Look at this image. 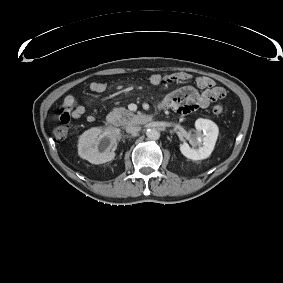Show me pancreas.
Instances as JSON below:
<instances>
[{
    "label": "pancreas",
    "mask_w": 283,
    "mask_h": 283,
    "mask_svg": "<svg viewBox=\"0 0 283 283\" xmlns=\"http://www.w3.org/2000/svg\"><path fill=\"white\" fill-rule=\"evenodd\" d=\"M117 126L136 125L141 123L140 115H135L124 107L114 108L111 112Z\"/></svg>",
    "instance_id": "obj_1"
}]
</instances>
